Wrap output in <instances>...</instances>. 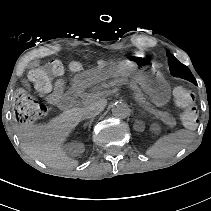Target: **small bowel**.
<instances>
[{
	"label": "small bowel",
	"mask_w": 211,
	"mask_h": 211,
	"mask_svg": "<svg viewBox=\"0 0 211 211\" xmlns=\"http://www.w3.org/2000/svg\"><path fill=\"white\" fill-rule=\"evenodd\" d=\"M32 66H36V63H33ZM64 87V81L62 79L57 80L50 94L46 96V100L51 104H57L59 99L63 96Z\"/></svg>",
	"instance_id": "1"
}]
</instances>
